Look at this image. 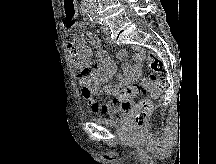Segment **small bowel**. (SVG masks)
I'll return each instance as SVG.
<instances>
[{"instance_id": "1", "label": "small bowel", "mask_w": 216, "mask_h": 164, "mask_svg": "<svg viewBox=\"0 0 216 164\" xmlns=\"http://www.w3.org/2000/svg\"><path fill=\"white\" fill-rule=\"evenodd\" d=\"M82 24L79 23L78 26ZM88 42L96 48V60L93 62V52L90 45L86 44L82 33L76 32L69 44L70 57L74 67L79 71V81L82 86V96L88 106L95 113H103L115 118L120 111H127L130 107L128 102L119 99L123 86L139 78L141 73L140 60L143 51L133 48L134 62L125 66L124 73L117 75L114 84L108 83L115 73V65L108 52L100 45L99 39L88 34ZM108 94L113 96L111 102L100 103L96 96Z\"/></svg>"}]
</instances>
